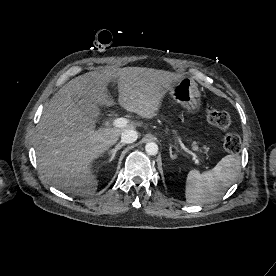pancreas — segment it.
<instances>
[{"instance_id": "pancreas-1", "label": "pancreas", "mask_w": 276, "mask_h": 276, "mask_svg": "<svg viewBox=\"0 0 276 276\" xmlns=\"http://www.w3.org/2000/svg\"><path fill=\"white\" fill-rule=\"evenodd\" d=\"M193 148H194L195 150H197V149H198V147H197V145H196V143H195V142L193 143Z\"/></svg>"}]
</instances>
